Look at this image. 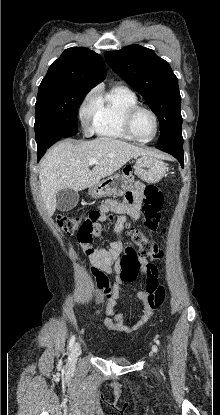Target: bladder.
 Wrapping results in <instances>:
<instances>
[{
    "mask_svg": "<svg viewBox=\"0 0 220 415\" xmlns=\"http://www.w3.org/2000/svg\"><path fill=\"white\" fill-rule=\"evenodd\" d=\"M113 362L122 365V366H126L130 364V360L125 358V357H119V356H114L110 358Z\"/></svg>",
    "mask_w": 220,
    "mask_h": 415,
    "instance_id": "31cf9c89",
    "label": "bladder"
}]
</instances>
